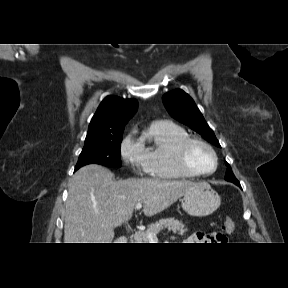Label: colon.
<instances>
[{"mask_svg": "<svg viewBox=\"0 0 288 288\" xmlns=\"http://www.w3.org/2000/svg\"><path fill=\"white\" fill-rule=\"evenodd\" d=\"M223 230L225 233L230 234L235 230V224L232 219L226 218L223 222ZM225 235L224 234H219L220 238H223Z\"/></svg>", "mask_w": 288, "mask_h": 288, "instance_id": "colon-1", "label": "colon"}]
</instances>
